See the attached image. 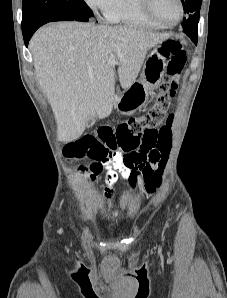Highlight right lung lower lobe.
Here are the masks:
<instances>
[{
	"label": "right lung lower lobe",
	"mask_w": 227,
	"mask_h": 298,
	"mask_svg": "<svg viewBox=\"0 0 227 298\" xmlns=\"http://www.w3.org/2000/svg\"><path fill=\"white\" fill-rule=\"evenodd\" d=\"M45 24V23H44ZM43 24H39L33 28H31L30 30L28 31H25L23 32V37H24V43L26 46H28V43H29V40L30 38L32 37L33 33L40 27L42 26Z\"/></svg>",
	"instance_id": "98d812e1"
}]
</instances>
